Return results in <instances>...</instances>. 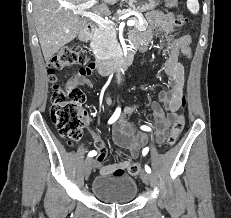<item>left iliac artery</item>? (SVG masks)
Segmentation results:
<instances>
[{"instance_id": "obj_1", "label": "left iliac artery", "mask_w": 231, "mask_h": 218, "mask_svg": "<svg viewBox=\"0 0 231 218\" xmlns=\"http://www.w3.org/2000/svg\"><path fill=\"white\" fill-rule=\"evenodd\" d=\"M141 129L144 131H151V128L148 126H145V125L141 126ZM148 151H149V148H147V147L144 148L142 151L143 156H145L148 153ZM145 170H146V172L151 173V169L148 165H145Z\"/></svg>"}]
</instances>
